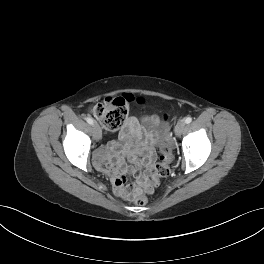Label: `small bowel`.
Returning <instances> with one entry per match:
<instances>
[{
	"label": "small bowel",
	"mask_w": 264,
	"mask_h": 264,
	"mask_svg": "<svg viewBox=\"0 0 264 264\" xmlns=\"http://www.w3.org/2000/svg\"><path fill=\"white\" fill-rule=\"evenodd\" d=\"M137 130H139V124L137 120L134 117H130L125 124L124 133ZM146 136L148 139H150L149 134ZM118 150V145L113 142L101 147L96 152L95 164L99 170H110L113 178V189L115 193L119 195V191L126 180V172L129 170V167L125 163V154L119 153ZM144 153V158L137 154H128V157L134 161L136 165L140 166L143 164L145 165L146 169L149 170L153 163L154 157L149 148H145Z\"/></svg>",
	"instance_id": "small-bowel-1"
}]
</instances>
